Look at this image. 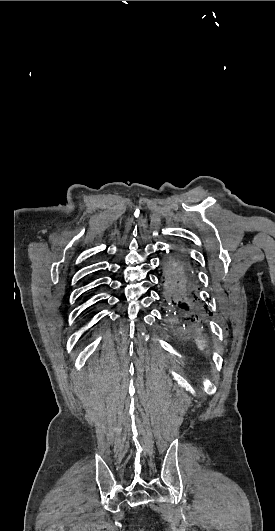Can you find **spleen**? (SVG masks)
<instances>
[{"mask_svg":"<svg viewBox=\"0 0 275 531\" xmlns=\"http://www.w3.org/2000/svg\"><path fill=\"white\" fill-rule=\"evenodd\" d=\"M200 339H201V341H200ZM195 341H196V345H197L198 349H200V351H204V347H206V345H205L206 341H205L204 337H197V339H195Z\"/></svg>","mask_w":275,"mask_h":531,"instance_id":"obj_1","label":"spleen"}]
</instances>
